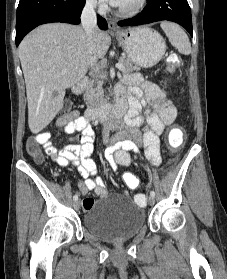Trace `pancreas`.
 I'll use <instances>...</instances> for the list:
<instances>
[{
  "label": "pancreas",
  "instance_id": "pancreas-1",
  "mask_svg": "<svg viewBox=\"0 0 227 279\" xmlns=\"http://www.w3.org/2000/svg\"><path fill=\"white\" fill-rule=\"evenodd\" d=\"M119 63L124 66V73L138 71L140 69L126 57H121ZM84 100L91 108L100 106L104 102L103 81L97 80L87 85L84 93Z\"/></svg>",
  "mask_w": 227,
  "mask_h": 279
}]
</instances>
